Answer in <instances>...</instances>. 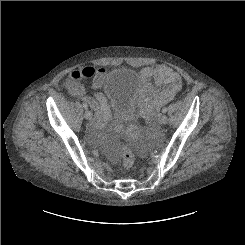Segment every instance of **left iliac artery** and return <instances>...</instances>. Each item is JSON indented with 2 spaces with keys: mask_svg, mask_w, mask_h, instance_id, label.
Returning <instances> with one entry per match:
<instances>
[{
  "mask_svg": "<svg viewBox=\"0 0 245 245\" xmlns=\"http://www.w3.org/2000/svg\"><path fill=\"white\" fill-rule=\"evenodd\" d=\"M162 112H163V113H166V112H167V108H166V107L163 108Z\"/></svg>",
  "mask_w": 245,
  "mask_h": 245,
  "instance_id": "left-iliac-artery-1",
  "label": "left iliac artery"
}]
</instances>
